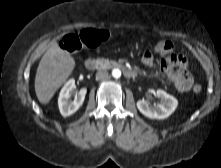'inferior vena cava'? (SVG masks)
<instances>
[{
	"mask_svg": "<svg viewBox=\"0 0 221 168\" xmlns=\"http://www.w3.org/2000/svg\"><path fill=\"white\" fill-rule=\"evenodd\" d=\"M108 77L109 74L106 70H100L96 73V80H106Z\"/></svg>",
	"mask_w": 221,
	"mask_h": 168,
	"instance_id": "obj_1",
	"label": "inferior vena cava"
}]
</instances>
